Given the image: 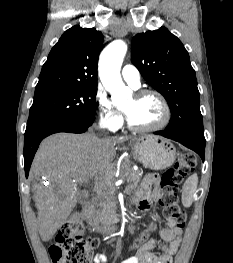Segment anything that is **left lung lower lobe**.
I'll list each match as a JSON object with an SVG mask.
<instances>
[{
    "label": "left lung lower lobe",
    "mask_w": 233,
    "mask_h": 263,
    "mask_svg": "<svg viewBox=\"0 0 233 263\" xmlns=\"http://www.w3.org/2000/svg\"><path fill=\"white\" fill-rule=\"evenodd\" d=\"M155 134L162 135V136H164L166 138L175 140V141L183 144L184 146L194 150L196 153H198L200 155V157L204 161V151H205V143H206V141H201V140L194 139V138H191V137H187V136H184V135H181V134L168 132L166 130H164V131H157V132H155Z\"/></svg>",
    "instance_id": "obj_1"
}]
</instances>
